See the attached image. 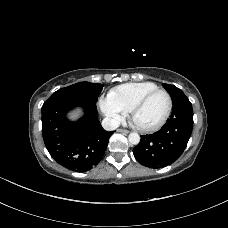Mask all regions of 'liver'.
I'll use <instances>...</instances> for the list:
<instances>
[{"label": "liver", "mask_w": 228, "mask_h": 228, "mask_svg": "<svg viewBox=\"0 0 228 228\" xmlns=\"http://www.w3.org/2000/svg\"><path fill=\"white\" fill-rule=\"evenodd\" d=\"M81 114V111L80 110H77V111H74L70 117L74 120V119H77L79 117V115Z\"/></svg>", "instance_id": "6515ba94"}]
</instances>
